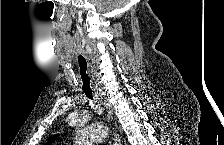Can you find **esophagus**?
<instances>
[{
  "label": "esophagus",
  "instance_id": "esophagus-1",
  "mask_svg": "<svg viewBox=\"0 0 224 145\" xmlns=\"http://www.w3.org/2000/svg\"><path fill=\"white\" fill-rule=\"evenodd\" d=\"M97 98L99 99V101H102L103 93L101 92V90H99ZM104 106L108 111L107 116L109 118H111L112 117V110H111L110 105L108 103H104ZM114 145H121V139H120L119 134H117V133L114 134Z\"/></svg>",
  "mask_w": 224,
  "mask_h": 145
}]
</instances>
